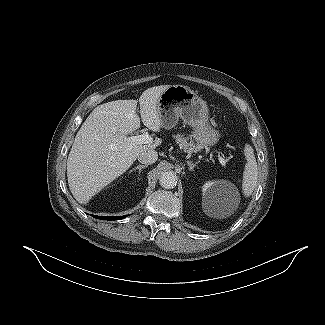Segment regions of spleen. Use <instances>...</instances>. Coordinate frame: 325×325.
I'll return each mask as SVG.
<instances>
[{"label":"spleen","mask_w":325,"mask_h":325,"mask_svg":"<svg viewBox=\"0 0 325 325\" xmlns=\"http://www.w3.org/2000/svg\"><path fill=\"white\" fill-rule=\"evenodd\" d=\"M245 156L247 163L243 172L242 190L246 197L250 196L256 186L258 179L257 162L254 155V149L250 145H245Z\"/></svg>","instance_id":"3e777b00"}]
</instances>
